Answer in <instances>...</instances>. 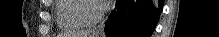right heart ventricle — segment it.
Wrapping results in <instances>:
<instances>
[{"instance_id":"1","label":"right heart ventricle","mask_w":219,"mask_h":37,"mask_svg":"<svg viewBox=\"0 0 219 37\" xmlns=\"http://www.w3.org/2000/svg\"><path fill=\"white\" fill-rule=\"evenodd\" d=\"M83 0H57L55 6L56 22L62 31L83 29L87 23L82 17Z\"/></svg>"}]
</instances>
